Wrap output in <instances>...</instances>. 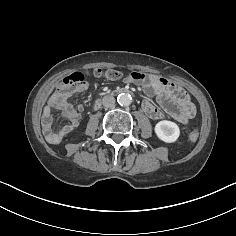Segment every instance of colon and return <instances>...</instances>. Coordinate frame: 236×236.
Here are the masks:
<instances>
[{
	"label": "colon",
	"mask_w": 236,
	"mask_h": 236,
	"mask_svg": "<svg viewBox=\"0 0 236 236\" xmlns=\"http://www.w3.org/2000/svg\"><path fill=\"white\" fill-rule=\"evenodd\" d=\"M92 75L97 77H103L108 80H117L122 76V73L116 69H107V70H96L92 73ZM129 77L133 81H140L142 80L145 75L140 72H131L129 73ZM85 79V73L82 72H74L71 74L69 79L70 83H81ZM199 133L197 130H193L189 134L190 141H196L198 139Z\"/></svg>",
	"instance_id": "1"
}]
</instances>
